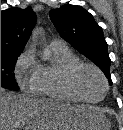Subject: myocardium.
<instances>
[{
  "mask_svg": "<svg viewBox=\"0 0 123 130\" xmlns=\"http://www.w3.org/2000/svg\"><path fill=\"white\" fill-rule=\"evenodd\" d=\"M83 69H91L95 71L99 77L101 78L103 84H104V92L101 95L100 98L98 99H90L86 97L81 89L79 88L78 85V75ZM64 82L66 88L69 90V92L76 97L78 100L83 101V102H88V103H97L101 101L105 95L107 94L108 91V81L104 75V73L101 71L99 67L92 63L84 62V61H77L72 64H70L64 72Z\"/></svg>",
  "mask_w": 123,
  "mask_h": 130,
  "instance_id": "f54148a6",
  "label": "myocardium"
}]
</instances>
